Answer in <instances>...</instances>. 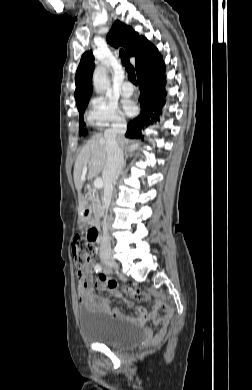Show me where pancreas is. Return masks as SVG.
<instances>
[{"label":"pancreas","mask_w":252,"mask_h":390,"mask_svg":"<svg viewBox=\"0 0 252 390\" xmlns=\"http://www.w3.org/2000/svg\"><path fill=\"white\" fill-rule=\"evenodd\" d=\"M98 199V195H96L95 193L90 194V200L92 202L93 207L97 206ZM94 211L98 214L97 209H94Z\"/></svg>","instance_id":"pancreas-1"}]
</instances>
